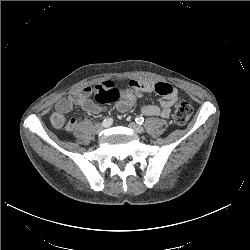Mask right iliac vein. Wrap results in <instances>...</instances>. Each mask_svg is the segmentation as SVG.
Listing matches in <instances>:
<instances>
[{
  "instance_id": "right-iliac-vein-1",
  "label": "right iliac vein",
  "mask_w": 250,
  "mask_h": 250,
  "mask_svg": "<svg viewBox=\"0 0 250 250\" xmlns=\"http://www.w3.org/2000/svg\"><path fill=\"white\" fill-rule=\"evenodd\" d=\"M102 129H103V125H102V124H96V125L94 126V132H95L96 134H99V133L102 131Z\"/></svg>"
}]
</instances>
